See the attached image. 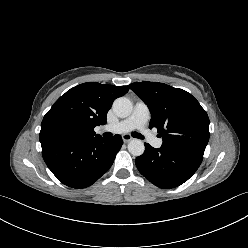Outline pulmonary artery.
Returning <instances> with one entry per match:
<instances>
[{
	"instance_id": "e3ab8cb5",
	"label": "pulmonary artery",
	"mask_w": 248,
	"mask_h": 248,
	"mask_svg": "<svg viewBox=\"0 0 248 248\" xmlns=\"http://www.w3.org/2000/svg\"><path fill=\"white\" fill-rule=\"evenodd\" d=\"M150 118L149 108L142 101L135 103L130 116L118 122L115 125L106 126L105 130L114 133H125L137 129L147 138V140L156 148L161 147L163 141L152 135L147 129V123Z\"/></svg>"
}]
</instances>
